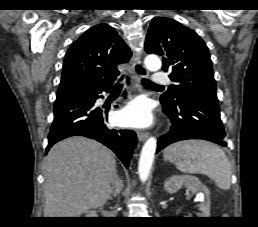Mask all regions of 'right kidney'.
Instances as JSON below:
<instances>
[{"label":"right kidney","instance_id":"right-kidney-1","mask_svg":"<svg viewBox=\"0 0 258 227\" xmlns=\"http://www.w3.org/2000/svg\"><path fill=\"white\" fill-rule=\"evenodd\" d=\"M86 217H97V215L95 211H90V212H87Z\"/></svg>","mask_w":258,"mask_h":227}]
</instances>
